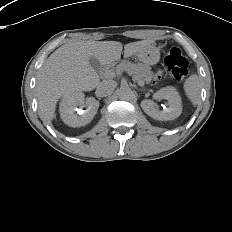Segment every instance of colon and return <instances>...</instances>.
<instances>
[{
    "instance_id": "5ec220e1",
    "label": "colon",
    "mask_w": 232,
    "mask_h": 232,
    "mask_svg": "<svg viewBox=\"0 0 232 232\" xmlns=\"http://www.w3.org/2000/svg\"><path fill=\"white\" fill-rule=\"evenodd\" d=\"M164 66L174 80L181 81L188 74V61L178 48H172L164 58Z\"/></svg>"
}]
</instances>
